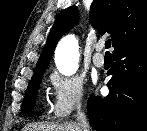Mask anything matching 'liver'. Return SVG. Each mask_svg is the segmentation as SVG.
I'll list each match as a JSON object with an SVG mask.
<instances>
[{"label": "liver", "mask_w": 147, "mask_h": 131, "mask_svg": "<svg viewBox=\"0 0 147 131\" xmlns=\"http://www.w3.org/2000/svg\"><path fill=\"white\" fill-rule=\"evenodd\" d=\"M22 131H80L78 123L66 122L64 124L53 123H29L25 125Z\"/></svg>", "instance_id": "6515ba94"}]
</instances>
